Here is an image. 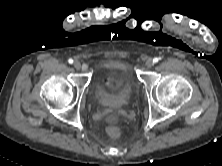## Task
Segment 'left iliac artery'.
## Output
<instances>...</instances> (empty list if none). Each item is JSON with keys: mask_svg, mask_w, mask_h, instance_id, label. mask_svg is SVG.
<instances>
[{"mask_svg": "<svg viewBox=\"0 0 222 166\" xmlns=\"http://www.w3.org/2000/svg\"><path fill=\"white\" fill-rule=\"evenodd\" d=\"M159 61V58H157V57H155L154 59H153V62L154 63H157Z\"/></svg>", "mask_w": 222, "mask_h": 166, "instance_id": "1", "label": "left iliac artery"}]
</instances>
